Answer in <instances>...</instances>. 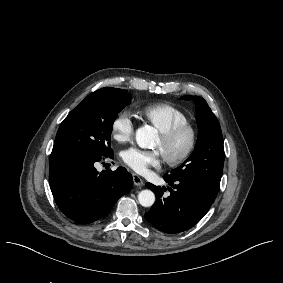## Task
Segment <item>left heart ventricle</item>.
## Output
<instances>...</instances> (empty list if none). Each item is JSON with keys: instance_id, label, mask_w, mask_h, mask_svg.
Instances as JSON below:
<instances>
[{"instance_id": "left-heart-ventricle-1", "label": "left heart ventricle", "mask_w": 283, "mask_h": 283, "mask_svg": "<svg viewBox=\"0 0 283 283\" xmlns=\"http://www.w3.org/2000/svg\"><path fill=\"white\" fill-rule=\"evenodd\" d=\"M189 137L187 134L181 135L173 144L165 145L162 143L159 138L156 147L161 151L162 155H178L180 154L187 146Z\"/></svg>"}]
</instances>
